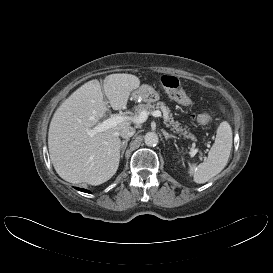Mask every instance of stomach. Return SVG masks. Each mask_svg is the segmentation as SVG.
Returning a JSON list of instances; mask_svg holds the SVG:
<instances>
[{
	"instance_id": "1",
	"label": "stomach",
	"mask_w": 273,
	"mask_h": 273,
	"mask_svg": "<svg viewBox=\"0 0 273 273\" xmlns=\"http://www.w3.org/2000/svg\"><path fill=\"white\" fill-rule=\"evenodd\" d=\"M133 97L136 101L154 102L157 98V94L153 88L148 85H142L134 93Z\"/></svg>"
}]
</instances>
